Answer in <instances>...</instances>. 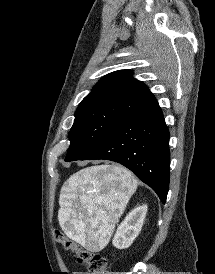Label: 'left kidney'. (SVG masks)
I'll return each mask as SVG.
<instances>
[{
    "instance_id": "left-kidney-1",
    "label": "left kidney",
    "mask_w": 215,
    "mask_h": 274,
    "mask_svg": "<svg viewBox=\"0 0 215 274\" xmlns=\"http://www.w3.org/2000/svg\"><path fill=\"white\" fill-rule=\"evenodd\" d=\"M147 213V205L133 209L118 226L112 243L117 249H125L132 245L139 235Z\"/></svg>"
}]
</instances>
